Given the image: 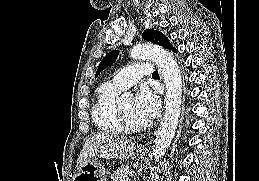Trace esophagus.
I'll use <instances>...</instances> for the list:
<instances>
[{
  "instance_id": "34e87169",
  "label": "esophagus",
  "mask_w": 259,
  "mask_h": 181,
  "mask_svg": "<svg viewBox=\"0 0 259 181\" xmlns=\"http://www.w3.org/2000/svg\"><path fill=\"white\" fill-rule=\"evenodd\" d=\"M146 147H147V145H146V143H145V144H142V145L140 146V149L145 150Z\"/></svg>"
}]
</instances>
